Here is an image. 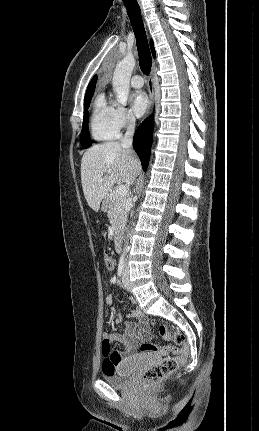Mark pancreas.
<instances>
[{"label":"pancreas","instance_id":"cf45deb5","mask_svg":"<svg viewBox=\"0 0 259 431\" xmlns=\"http://www.w3.org/2000/svg\"><path fill=\"white\" fill-rule=\"evenodd\" d=\"M126 203L127 199L118 196L117 193L111 194L108 199V218L115 236L122 232L124 228L127 218Z\"/></svg>","mask_w":259,"mask_h":431}]
</instances>
